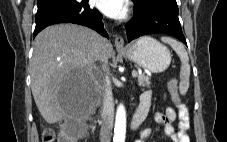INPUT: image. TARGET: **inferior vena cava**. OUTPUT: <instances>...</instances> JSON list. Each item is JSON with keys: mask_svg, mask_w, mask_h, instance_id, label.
I'll return each mask as SVG.
<instances>
[{"mask_svg": "<svg viewBox=\"0 0 227 142\" xmlns=\"http://www.w3.org/2000/svg\"><path fill=\"white\" fill-rule=\"evenodd\" d=\"M93 53L95 60H99L102 63V73L100 77H104L105 73L108 71V57L103 51V47L100 41V38L97 37L93 42ZM108 86L107 81H105L104 87ZM103 124L100 130V142H111V135L108 128V121L105 118V111L102 112Z\"/></svg>", "mask_w": 227, "mask_h": 142, "instance_id": "inferior-vena-cava-1", "label": "inferior vena cava"}]
</instances>
